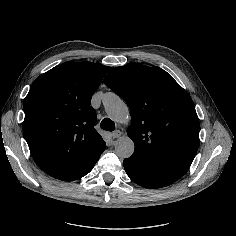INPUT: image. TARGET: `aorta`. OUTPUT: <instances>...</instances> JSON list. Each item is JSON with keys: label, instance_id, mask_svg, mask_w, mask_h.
I'll return each instance as SVG.
<instances>
[{"label": "aorta", "instance_id": "obj_1", "mask_svg": "<svg viewBox=\"0 0 236 236\" xmlns=\"http://www.w3.org/2000/svg\"><path fill=\"white\" fill-rule=\"evenodd\" d=\"M103 105L108 116L116 122L124 123L129 119L127 104L116 94L106 93ZM134 142L128 136H121L116 140L115 152L121 158H128L134 152Z\"/></svg>", "mask_w": 236, "mask_h": 236}]
</instances>
